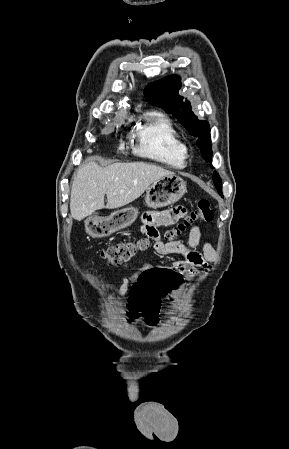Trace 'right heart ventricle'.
Listing matches in <instances>:
<instances>
[{
	"instance_id": "right-heart-ventricle-1",
	"label": "right heart ventricle",
	"mask_w": 289,
	"mask_h": 449,
	"mask_svg": "<svg viewBox=\"0 0 289 449\" xmlns=\"http://www.w3.org/2000/svg\"><path fill=\"white\" fill-rule=\"evenodd\" d=\"M137 153L175 168L185 166L188 151L171 121L163 113H146L135 131Z\"/></svg>"
}]
</instances>
